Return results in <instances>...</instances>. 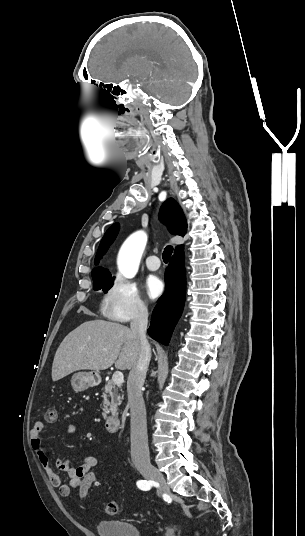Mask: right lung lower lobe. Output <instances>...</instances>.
I'll use <instances>...</instances> for the list:
<instances>
[{
  "mask_svg": "<svg viewBox=\"0 0 305 536\" xmlns=\"http://www.w3.org/2000/svg\"><path fill=\"white\" fill-rule=\"evenodd\" d=\"M166 289L152 313L148 334L168 345L172 331L182 313L185 301L184 253L174 254L165 274Z\"/></svg>",
  "mask_w": 305,
  "mask_h": 536,
  "instance_id": "98d812e1",
  "label": "right lung lower lobe"
}]
</instances>
